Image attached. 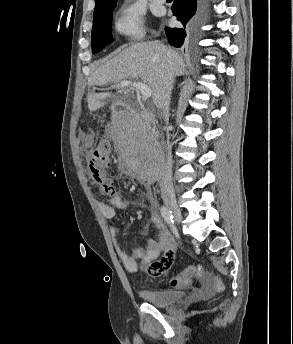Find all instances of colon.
<instances>
[{
    "label": "colon",
    "instance_id": "5ec220e1",
    "mask_svg": "<svg viewBox=\"0 0 293 344\" xmlns=\"http://www.w3.org/2000/svg\"><path fill=\"white\" fill-rule=\"evenodd\" d=\"M84 136L87 137L86 132ZM88 163L93 181L101 191L107 196L116 195L115 181L108 174V169L111 166V143L109 140L104 139L98 143L91 153ZM198 275H205L202 265L189 266L172 280V285L176 287L183 286L188 280ZM213 281L216 290L221 292L224 289L223 283L219 279Z\"/></svg>",
    "mask_w": 293,
    "mask_h": 344
}]
</instances>
